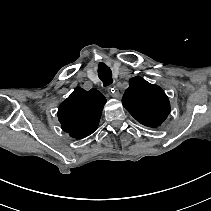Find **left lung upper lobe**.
<instances>
[{
	"instance_id": "obj_1",
	"label": "left lung upper lobe",
	"mask_w": 211,
	"mask_h": 211,
	"mask_svg": "<svg viewBox=\"0 0 211 211\" xmlns=\"http://www.w3.org/2000/svg\"><path fill=\"white\" fill-rule=\"evenodd\" d=\"M122 104L138 122L152 128L160 126L170 113V102L163 89L141 77L129 80Z\"/></svg>"
}]
</instances>
